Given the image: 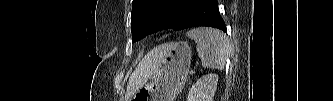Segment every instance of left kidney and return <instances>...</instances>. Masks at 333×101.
<instances>
[{
    "label": "left kidney",
    "mask_w": 333,
    "mask_h": 101,
    "mask_svg": "<svg viewBox=\"0 0 333 101\" xmlns=\"http://www.w3.org/2000/svg\"><path fill=\"white\" fill-rule=\"evenodd\" d=\"M218 83V75L207 74L202 76L191 87L187 101H213Z\"/></svg>",
    "instance_id": "1"
}]
</instances>
